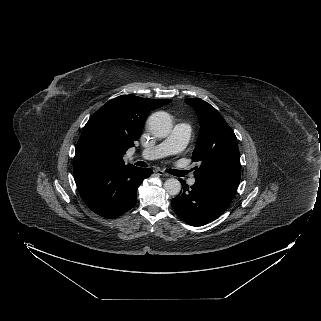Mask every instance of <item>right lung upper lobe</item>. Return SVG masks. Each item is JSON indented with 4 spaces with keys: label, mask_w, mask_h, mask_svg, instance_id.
I'll return each mask as SVG.
<instances>
[{
    "label": "right lung upper lobe",
    "mask_w": 321,
    "mask_h": 321,
    "mask_svg": "<svg viewBox=\"0 0 321 321\" xmlns=\"http://www.w3.org/2000/svg\"><path fill=\"white\" fill-rule=\"evenodd\" d=\"M170 101L121 95L108 101L91 116L80 137L97 134L105 138L114 149L111 166H122L123 155L139 138L146 115Z\"/></svg>",
    "instance_id": "1"
}]
</instances>
